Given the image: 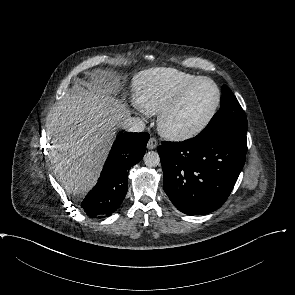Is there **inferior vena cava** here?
Here are the masks:
<instances>
[{
	"mask_svg": "<svg viewBox=\"0 0 295 295\" xmlns=\"http://www.w3.org/2000/svg\"><path fill=\"white\" fill-rule=\"evenodd\" d=\"M121 127L128 132H142L145 130L144 122L138 117H129L122 121Z\"/></svg>",
	"mask_w": 295,
	"mask_h": 295,
	"instance_id": "inferior-vena-cava-1",
	"label": "inferior vena cava"
}]
</instances>
